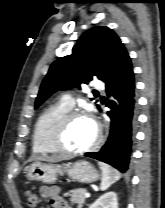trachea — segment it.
Instances as JSON below:
<instances>
[{"label": "trachea", "instance_id": "1", "mask_svg": "<svg viewBox=\"0 0 165 208\" xmlns=\"http://www.w3.org/2000/svg\"><path fill=\"white\" fill-rule=\"evenodd\" d=\"M94 94L98 95L99 93L97 91H95Z\"/></svg>", "mask_w": 165, "mask_h": 208}]
</instances>
